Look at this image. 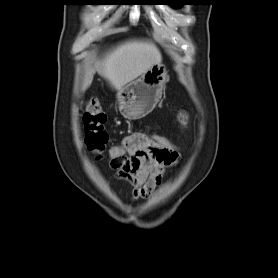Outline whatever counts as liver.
Returning <instances> with one entry per match:
<instances>
[{"mask_svg": "<svg viewBox=\"0 0 278 278\" xmlns=\"http://www.w3.org/2000/svg\"><path fill=\"white\" fill-rule=\"evenodd\" d=\"M161 61V53L153 42L126 41L94 61L84 77L83 89L91 85L94 74L98 72L113 89L120 90Z\"/></svg>", "mask_w": 278, "mask_h": 278, "instance_id": "6515ba94", "label": "liver"}]
</instances>
